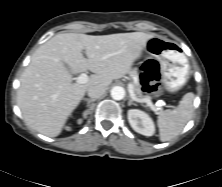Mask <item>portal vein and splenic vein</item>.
<instances>
[{
  "mask_svg": "<svg viewBox=\"0 0 222 187\" xmlns=\"http://www.w3.org/2000/svg\"><path fill=\"white\" fill-rule=\"evenodd\" d=\"M89 77L87 76L86 73H82L79 77H77V83L79 84H85L88 82ZM128 91L130 94V97L140 103H146V105L151 108L152 110L156 111L159 110L160 108H157L156 106L153 105L150 99H139L136 97L134 90H133V85L131 83L128 84Z\"/></svg>",
  "mask_w": 222,
  "mask_h": 187,
  "instance_id": "1",
  "label": "portal vein and splenic vein"
}]
</instances>
